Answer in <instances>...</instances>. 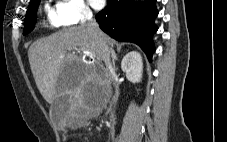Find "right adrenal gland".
<instances>
[{"instance_id": "right-adrenal-gland-1", "label": "right adrenal gland", "mask_w": 227, "mask_h": 142, "mask_svg": "<svg viewBox=\"0 0 227 142\" xmlns=\"http://www.w3.org/2000/svg\"><path fill=\"white\" fill-rule=\"evenodd\" d=\"M111 53H112V64H113V67H114L115 70H117V68L115 67V61L118 59V56H117V54L115 53L114 50H112Z\"/></svg>"}]
</instances>
